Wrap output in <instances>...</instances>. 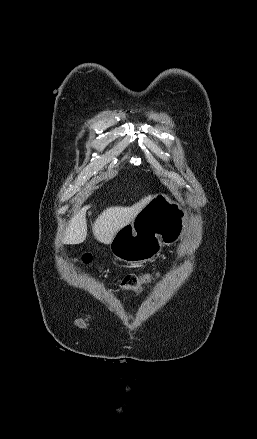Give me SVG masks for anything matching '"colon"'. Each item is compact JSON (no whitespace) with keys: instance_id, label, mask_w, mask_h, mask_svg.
<instances>
[{"instance_id":"1","label":"colon","mask_w":257,"mask_h":439,"mask_svg":"<svg viewBox=\"0 0 257 439\" xmlns=\"http://www.w3.org/2000/svg\"><path fill=\"white\" fill-rule=\"evenodd\" d=\"M91 259V255L89 253H84L81 256V260L85 263L89 262ZM153 274H144V275H136V274H128L126 275L121 283V289L125 291H129L132 293H139L141 291V287L143 284L150 282L154 279Z\"/></svg>"}]
</instances>
